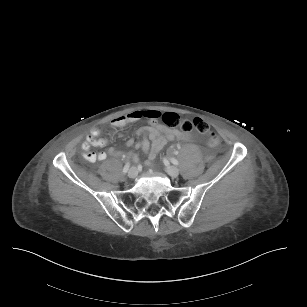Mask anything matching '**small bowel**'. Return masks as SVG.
Instances as JSON below:
<instances>
[{
    "instance_id": "obj_1",
    "label": "small bowel",
    "mask_w": 307,
    "mask_h": 307,
    "mask_svg": "<svg viewBox=\"0 0 307 307\" xmlns=\"http://www.w3.org/2000/svg\"><path fill=\"white\" fill-rule=\"evenodd\" d=\"M160 114L155 110H134L122 116L115 118L112 121V127L115 130H120L127 126L146 119L149 121L148 126L141 127L138 130V135L142 137L139 142H135L133 138L127 142L128 147L141 148L145 153H149V159L146 161L147 165L153 164L159 151L168 141L182 140L187 141L191 138L190 133H183L178 130L169 129L158 123ZM100 129L93 127L82 144L83 156L86 160L94 162L96 160H104L107 156L119 155V152L113 148L109 149L108 152L94 153L90 151V147H104L107 145L108 140L99 138ZM128 158L135 162H138V156L135 153L128 154Z\"/></svg>"
}]
</instances>
